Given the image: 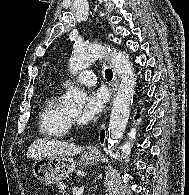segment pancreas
Instances as JSON below:
<instances>
[{
    "instance_id": "1",
    "label": "pancreas",
    "mask_w": 189,
    "mask_h": 195,
    "mask_svg": "<svg viewBox=\"0 0 189 195\" xmlns=\"http://www.w3.org/2000/svg\"><path fill=\"white\" fill-rule=\"evenodd\" d=\"M67 184L64 183V182H59L57 184V188H58V191L59 193H62V195H65V188H66Z\"/></svg>"
}]
</instances>
